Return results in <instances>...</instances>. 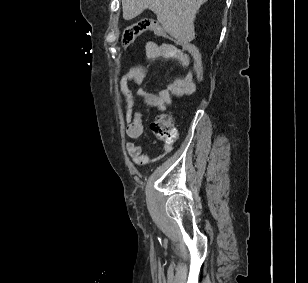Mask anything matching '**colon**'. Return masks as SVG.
<instances>
[{
    "mask_svg": "<svg viewBox=\"0 0 308 283\" xmlns=\"http://www.w3.org/2000/svg\"><path fill=\"white\" fill-rule=\"evenodd\" d=\"M150 31L157 35H168V32L158 23L150 20H141L128 26L122 33L121 44L124 47L132 44L141 34ZM182 46L191 59V70L193 73V85L190 93L194 92L196 85L203 78V62L200 50L191 42H182ZM153 134L164 141H174L177 131L173 126L172 118L169 115H160L152 124Z\"/></svg>",
    "mask_w": 308,
    "mask_h": 283,
    "instance_id": "1",
    "label": "colon"
}]
</instances>
